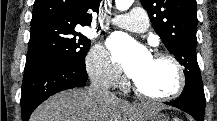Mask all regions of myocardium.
Returning <instances> with one entry per match:
<instances>
[{"mask_svg":"<svg viewBox=\"0 0 217 121\" xmlns=\"http://www.w3.org/2000/svg\"><path fill=\"white\" fill-rule=\"evenodd\" d=\"M155 59L166 60L171 64L175 72V84L172 89L163 94H153L143 90L135 80L132 81V87L137 95L140 97L157 102L171 101L177 98L184 91L186 86V73L181 62L171 53L168 52H156L153 56Z\"/></svg>","mask_w":217,"mask_h":121,"instance_id":"1","label":"myocardium"}]
</instances>
